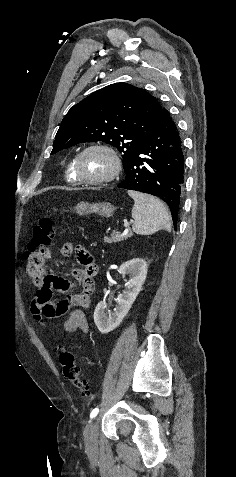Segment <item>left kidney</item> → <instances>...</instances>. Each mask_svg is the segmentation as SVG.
I'll list each match as a JSON object with an SVG mask.
<instances>
[{"label":"left kidney","instance_id":"5707ae66","mask_svg":"<svg viewBox=\"0 0 236 477\" xmlns=\"http://www.w3.org/2000/svg\"><path fill=\"white\" fill-rule=\"evenodd\" d=\"M147 270L148 264L141 258H134L120 266L119 274L123 277L129 275L130 278L125 284L126 290L116 300L117 305L114 312L109 316L106 315L105 301L99 302L94 311V322L102 334L113 331L127 315L136 297L142 290Z\"/></svg>","mask_w":236,"mask_h":477}]
</instances>
